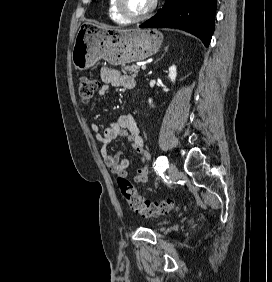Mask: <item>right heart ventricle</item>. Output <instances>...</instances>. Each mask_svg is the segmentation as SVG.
Returning <instances> with one entry per match:
<instances>
[{
	"mask_svg": "<svg viewBox=\"0 0 272 282\" xmlns=\"http://www.w3.org/2000/svg\"><path fill=\"white\" fill-rule=\"evenodd\" d=\"M115 0H110L109 1V16L110 18L116 22V23H119V24H123V25H127L129 24L130 22L126 19H124L116 10L115 8Z\"/></svg>",
	"mask_w": 272,
	"mask_h": 282,
	"instance_id": "e07e8e85",
	"label": "right heart ventricle"
}]
</instances>
